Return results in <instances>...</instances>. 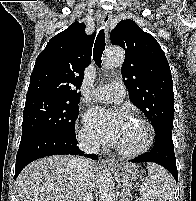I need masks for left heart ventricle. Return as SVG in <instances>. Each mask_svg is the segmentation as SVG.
Segmentation results:
<instances>
[{
	"label": "left heart ventricle",
	"instance_id": "obj_1",
	"mask_svg": "<svg viewBox=\"0 0 196 201\" xmlns=\"http://www.w3.org/2000/svg\"><path fill=\"white\" fill-rule=\"evenodd\" d=\"M145 140V130L137 122L132 121L123 131L116 146L126 151L136 150Z\"/></svg>",
	"mask_w": 196,
	"mask_h": 201
}]
</instances>
